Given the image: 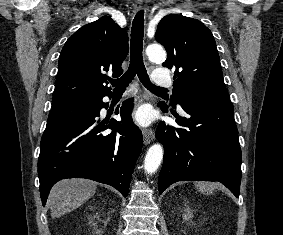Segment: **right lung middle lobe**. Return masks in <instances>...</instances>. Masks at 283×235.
Instances as JSON below:
<instances>
[{
  "instance_id": "obj_1",
  "label": "right lung middle lobe",
  "mask_w": 283,
  "mask_h": 235,
  "mask_svg": "<svg viewBox=\"0 0 283 235\" xmlns=\"http://www.w3.org/2000/svg\"><path fill=\"white\" fill-rule=\"evenodd\" d=\"M93 99H74L53 103L47 121V128L62 124L85 112Z\"/></svg>"
}]
</instances>
